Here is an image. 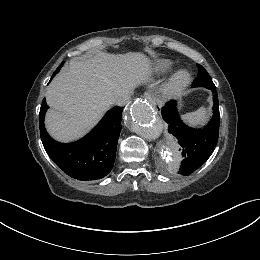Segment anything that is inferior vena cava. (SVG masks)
Segmentation results:
<instances>
[{
  "mask_svg": "<svg viewBox=\"0 0 260 260\" xmlns=\"http://www.w3.org/2000/svg\"><path fill=\"white\" fill-rule=\"evenodd\" d=\"M132 94L133 90L123 91L112 99V104L117 106H124L130 101Z\"/></svg>",
  "mask_w": 260,
  "mask_h": 260,
  "instance_id": "obj_1",
  "label": "inferior vena cava"
}]
</instances>
